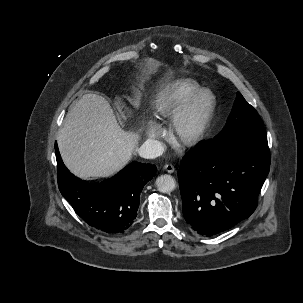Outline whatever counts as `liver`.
I'll list each match as a JSON object with an SVG mask.
<instances>
[{"mask_svg":"<svg viewBox=\"0 0 303 303\" xmlns=\"http://www.w3.org/2000/svg\"><path fill=\"white\" fill-rule=\"evenodd\" d=\"M139 138L138 133L120 127L106 99L85 94L69 111L57 142L73 174L109 177L130 161Z\"/></svg>","mask_w":303,"mask_h":303,"instance_id":"1","label":"liver"}]
</instances>
